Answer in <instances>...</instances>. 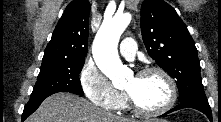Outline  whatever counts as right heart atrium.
Wrapping results in <instances>:
<instances>
[{"mask_svg":"<svg viewBox=\"0 0 221 122\" xmlns=\"http://www.w3.org/2000/svg\"><path fill=\"white\" fill-rule=\"evenodd\" d=\"M79 82L89 101L106 110L117 109L124 97L113 87L93 60H86L83 64L79 73Z\"/></svg>","mask_w":221,"mask_h":122,"instance_id":"1","label":"right heart atrium"}]
</instances>
